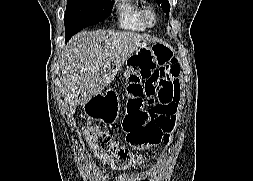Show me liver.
<instances>
[{
  "mask_svg": "<svg viewBox=\"0 0 253 181\" xmlns=\"http://www.w3.org/2000/svg\"><path fill=\"white\" fill-rule=\"evenodd\" d=\"M151 42L154 39L150 36L130 31H83L73 36L60 61L62 94L69 115L74 114L76 106L100 94L131 54Z\"/></svg>",
  "mask_w": 253,
  "mask_h": 181,
  "instance_id": "1",
  "label": "liver"
}]
</instances>
